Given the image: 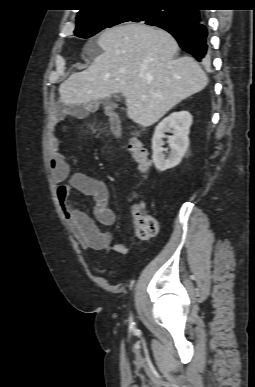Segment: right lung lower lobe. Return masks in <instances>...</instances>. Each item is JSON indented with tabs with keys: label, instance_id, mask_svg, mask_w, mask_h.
<instances>
[{
	"label": "right lung lower lobe",
	"instance_id": "1",
	"mask_svg": "<svg viewBox=\"0 0 255 387\" xmlns=\"http://www.w3.org/2000/svg\"><path fill=\"white\" fill-rule=\"evenodd\" d=\"M180 20L159 26L174 36L181 49L197 61H210L207 23L202 10L189 6L178 8Z\"/></svg>",
	"mask_w": 255,
	"mask_h": 387
}]
</instances>
